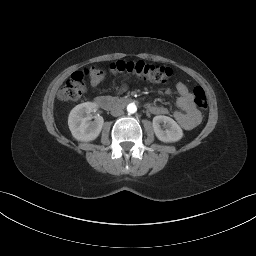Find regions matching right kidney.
<instances>
[{
    "label": "right kidney",
    "mask_w": 256,
    "mask_h": 256,
    "mask_svg": "<svg viewBox=\"0 0 256 256\" xmlns=\"http://www.w3.org/2000/svg\"><path fill=\"white\" fill-rule=\"evenodd\" d=\"M97 108L92 102H85L75 106L68 117V126L72 136L78 141H92L100 134L104 119L102 116H95L94 121L90 113Z\"/></svg>",
    "instance_id": "1"
}]
</instances>
